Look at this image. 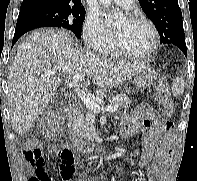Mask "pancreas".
Listing matches in <instances>:
<instances>
[{"label": "pancreas", "instance_id": "obj_1", "mask_svg": "<svg viewBox=\"0 0 197 181\" xmlns=\"http://www.w3.org/2000/svg\"><path fill=\"white\" fill-rule=\"evenodd\" d=\"M97 96H102V93L97 92ZM130 104L131 100L125 94H118L110 98V106L126 109ZM70 128L80 140H92L96 135L95 113L90 109L77 112L71 117Z\"/></svg>", "mask_w": 197, "mask_h": 181}]
</instances>
